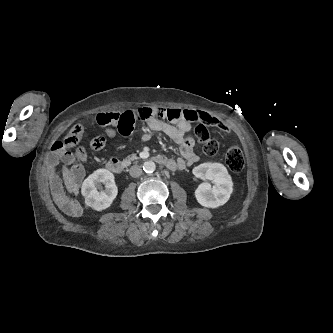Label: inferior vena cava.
Listing matches in <instances>:
<instances>
[{
  "mask_svg": "<svg viewBox=\"0 0 333 333\" xmlns=\"http://www.w3.org/2000/svg\"><path fill=\"white\" fill-rule=\"evenodd\" d=\"M129 173L131 175V177H139L142 174V169L139 165H133L130 170Z\"/></svg>",
  "mask_w": 333,
  "mask_h": 333,
  "instance_id": "602c4592",
  "label": "inferior vena cava"
}]
</instances>
